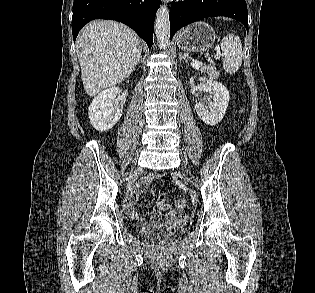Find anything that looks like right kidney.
Instances as JSON below:
<instances>
[{
  "label": "right kidney",
  "instance_id": "obj_1",
  "mask_svg": "<svg viewBox=\"0 0 315 293\" xmlns=\"http://www.w3.org/2000/svg\"><path fill=\"white\" fill-rule=\"evenodd\" d=\"M119 87H111L99 93L89 106V119L92 126L100 131L110 130L121 118L122 109L116 105L117 97H126L128 91L120 96Z\"/></svg>",
  "mask_w": 315,
  "mask_h": 293
}]
</instances>
